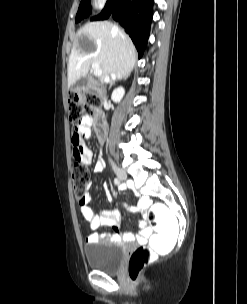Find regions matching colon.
Masks as SVG:
<instances>
[{
	"label": "colon",
	"instance_id": "obj_1",
	"mask_svg": "<svg viewBox=\"0 0 247 304\" xmlns=\"http://www.w3.org/2000/svg\"><path fill=\"white\" fill-rule=\"evenodd\" d=\"M100 105V98L96 94L73 91L68 101L69 120L73 125L80 123L84 116L95 113ZM72 180L76 198L81 202L90 180L86 165L73 162ZM148 215L153 237H150V246H140L130 256L128 273L132 281L138 280L144 267L152 261L154 253H173V244H176L178 238L179 220L163 202H154L149 207Z\"/></svg>",
	"mask_w": 247,
	"mask_h": 304
}]
</instances>
